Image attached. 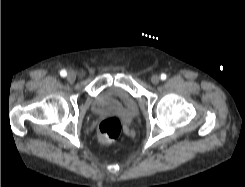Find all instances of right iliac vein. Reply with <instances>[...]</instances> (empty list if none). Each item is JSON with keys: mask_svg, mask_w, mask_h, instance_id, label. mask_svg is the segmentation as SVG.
I'll return each mask as SVG.
<instances>
[{"mask_svg": "<svg viewBox=\"0 0 245 187\" xmlns=\"http://www.w3.org/2000/svg\"><path fill=\"white\" fill-rule=\"evenodd\" d=\"M68 82L72 83L76 80V74L74 72H69L67 75Z\"/></svg>", "mask_w": 245, "mask_h": 187, "instance_id": "1", "label": "right iliac vein"}]
</instances>
